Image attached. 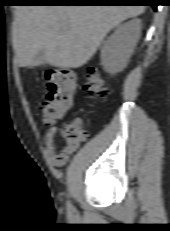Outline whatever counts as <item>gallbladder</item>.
I'll list each match as a JSON object with an SVG mask.
<instances>
[{
  "label": "gallbladder",
  "mask_w": 170,
  "mask_h": 231,
  "mask_svg": "<svg viewBox=\"0 0 170 231\" xmlns=\"http://www.w3.org/2000/svg\"><path fill=\"white\" fill-rule=\"evenodd\" d=\"M44 50H41L37 55H36V59L39 60L44 56Z\"/></svg>",
  "instance_id": "1"
}]
</instances>
